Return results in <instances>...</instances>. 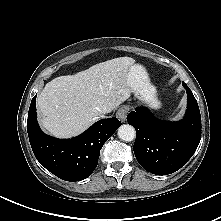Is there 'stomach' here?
<instances>
[{
	"label": "stomach",
	"instance_id": "1",
	"mask_svg": "<svg viewBox=\"0 0 221 221\" xmlns=\"http://www.w3.org/2000/svg\"><path fill=\"white\" fill-rule=\"evenodd\" d=\"M128 81L135 93V95L140 98L141 100L150 104L152 108H159L160 102L157 100L155 93V88L150 85L147 73L145 72L144 68L140 65H133L129 69L128 73ZM143 89H147L151 91L149 97H143L140 93ZM154 89V91L152 90Z\"/></svg>",
	"mask_w": 221,
	"mask_h": 221
}]
</instances>
